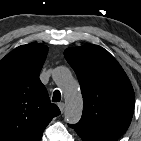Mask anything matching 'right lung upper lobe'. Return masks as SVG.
Here are the masks:
<instances>
[{
    "label": "right lung upper lobe",
    "instance_id": "right-lung-upper-lobe-1",
    "mask_svg": "<svg viewBox=\"0 0 141 141\" xmlns=\"http://www.w3.org/2000/svg\"><path fill=\"white\" fill-rule=\"evenodd\" d=\"M48 47L30 43L0 61V141H40L59 108L39 79Z\"/></svg>",
    "mask_w": 141,
    "mask_h": 141
}]
</instances>
